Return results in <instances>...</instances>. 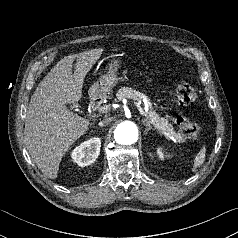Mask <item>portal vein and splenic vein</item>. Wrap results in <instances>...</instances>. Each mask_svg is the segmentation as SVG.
<instances>
[{"instance_id": "obj_1", "label": "portal vein and splenic vein", "mask_w": 238, "mask_h": 238, "mask_svg": "<svg viewBox=\"0 0 238 238\" xmlns=\"http://www.w3.org/2000/svg\"><path fill=\"white\" fill-rule=\"evenodd\" d=\"M135 106L138 108L139 112L141 113V115L145 116V117H148L147 116V113H145V111L141 108L140 104L138 102H134ZM110 110V106L109 105H106V106H103L100 108V111L102 113H106L107 111Z\"/></svg>"}]
</instances>
